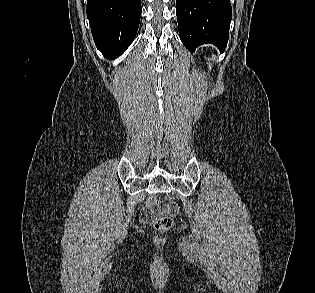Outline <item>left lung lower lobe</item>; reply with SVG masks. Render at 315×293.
<instances>
[{"label": "left lung lower lobe", "instance_id": "obj_1", "mask_svg": "<svg viewBox=\"0 0 315 293\" xmlns=\"http://www.w3.org/2000/svg\"><path fill=\"white\" fill-rule=\"evenodd\" d=\"M179 36L185 47L211 43L223 52L231 21L229 0H176Z\"/></svg>", "mask_w": 315, "mask_h": 293}]
</instances>
